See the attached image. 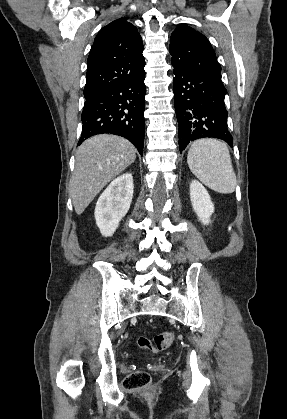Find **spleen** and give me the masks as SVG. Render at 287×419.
I'll return each mask as SVG.
<instances>
[{
	"instance_id": "1",
	"label": "spleen",
	"mask_w": 287,
	"mask_h": 419,
	"mask_svg": "<svg viewBox=\"0 0 287 419\" xmlns=\"http://www.w3.org/2000/svg\"><path fill=\"white\" fill-rule=\"evenodd\" d=\"M187 163L191 172L207 187L230 194L236 188V174L227 145L212 138L196 140L190 147Z\"/></svg>"
}]
</instances>
